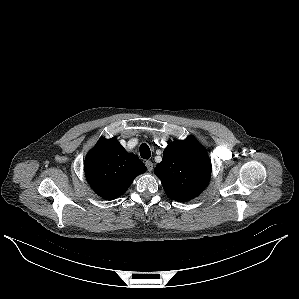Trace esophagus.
Returning a JSON list of instances; mask_svg holds the SVG:
<instances>
[{"mask_svg": "<svg viewBox=\"0 0 299 299\" xmlns=\"http://www.w3.org/2000/svg\"><path fill=\"white\" fill-rule=\"evenodd\" d=\"M145 165L149 172H151L153 170V163L151 161H146Z\"/></svg>", "mask_w": 299, "mask_h": 299, "instance_id": "34e87169", "label": "esophagus"}]
</instances>
